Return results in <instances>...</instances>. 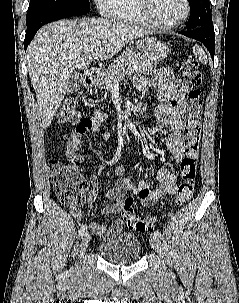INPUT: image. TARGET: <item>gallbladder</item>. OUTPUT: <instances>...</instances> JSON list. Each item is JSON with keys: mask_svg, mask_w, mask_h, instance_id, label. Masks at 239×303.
Returning <instances> with one entry per match:
<instances>
[{"mask_svg": "<svg viewBox=\"0 0 239 303\" xmlns=\"http://www.w3.org/2000/svg\"><path fill=\"white\" fill-rule=\"evenodd\" d=\"M82 74L79 72L73 73L68 80V92H74L80 89L82 84Z\"/></svg>", "mask_w": 239, "mask_h": 303, "instance_id": "obj_1", "label": "gallbladder"}]
</instances>
